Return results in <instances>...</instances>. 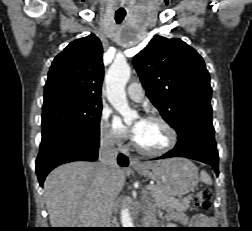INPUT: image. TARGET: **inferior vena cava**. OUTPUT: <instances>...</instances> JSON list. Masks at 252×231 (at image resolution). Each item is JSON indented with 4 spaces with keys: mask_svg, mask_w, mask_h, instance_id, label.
<instances>
[{
    "mask_svg": "<svg viewBox=\"0 0 252 231\" xmlns=\"http://www.w3.org/2000/svg\"><path fill=\"white\" fill-rule=\"evenodd\" d=\"M118 150L115 147V141L112 135L104 134L100 139L99 160L104 171L113 176L118 167L117 164Z\"/></svg>",
    "mask_w": 252,
    "mask_h": 231,
    "instance_id": "1",
    "label": "inferior vena cava"
}]
</instances>
